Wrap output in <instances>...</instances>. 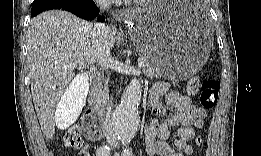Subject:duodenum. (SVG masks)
I'll return each mask as SVG.
<instances>
[{"mask_svg":"<svg viewBox=\"0 0 261 156\" xmlns=\"http://www.w3.org/2000/svg\"><path fill=\"white\" fill-rule=\"evenodd\" d=\"M91 78L97 85L100 79L99 73L97 72L92 73ZM103 111H104V102L101 99H99L97 95H94L92 98V112L96 113V112H103ZM106 126L107 124L105 121L104 128H106Z\"/></svg>","mask_w":261,"mask_h":156,"instance_id":"410a0bca","label":"duodenum"}]
</instances>
